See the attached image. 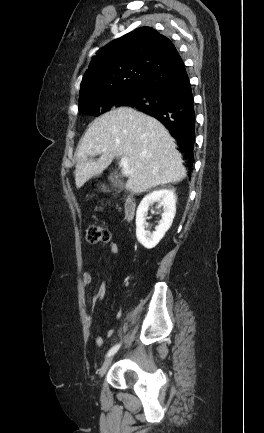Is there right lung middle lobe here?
Wrapping results in <instances>:
<instances>
[{
  "mask_svg": "<svg viewBox=\"0 0 264 433\" xmlns=\"http://www.w3.org/2000/svg\"><path fill=\"white\" fill-rule=\"evenodd\" d=\"M140 85L121 87L101 96L79 100V111L82 114L99 116L112 108L122 106L130 98L136 96Z\"/></svg>",
  "mask_w": 264,
  "mask_h": 433,
  "instance_id": "dd1d6c3e",
  "label": "right lung middle lobe"
}]
</instances>
